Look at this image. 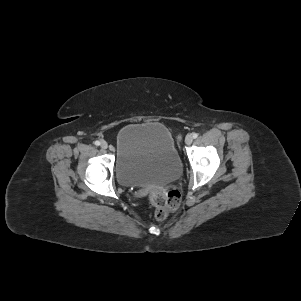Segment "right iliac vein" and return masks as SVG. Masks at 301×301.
<instances>
[{
  "label": "right iliac vein",
  "mask_w": 301,
  "mask_h": 301,
  "mask_svg": "<svg viewBox=\"0 0 301 301\" xmlns=\"http://www.w3.org/2000/svg\"><path fill=\"white\" fill-rule=\"evenodd\" d=\"M100 146L102 149H106L108 147V143L105 140H102Z\"/></svg>",
  "instance_id": "63e3f726"
}]
</instances>
